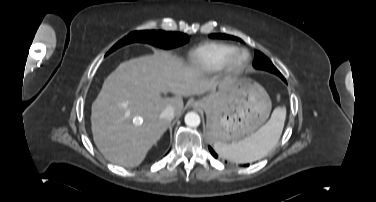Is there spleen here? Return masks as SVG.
Here are the masks:
<instances>
[{"label":"spleen","instance_id":"3e777b00","mask_svg":"<svg viewBox=\"0 0 376 202\" xmlns=\"http://www.w3.org/2000/svg\"><path fill=\"white\" fill-rule=\"evenodd\" d=\"M286 117L285 107H277L270 120L257 132L234 143L215 142L214 150L235 163H250L266 156L278 143Z\"/></svg>","mask_w":376,"mask_h":202}]
</instances>
